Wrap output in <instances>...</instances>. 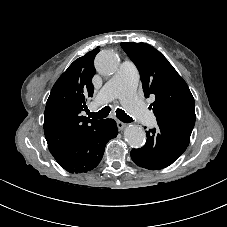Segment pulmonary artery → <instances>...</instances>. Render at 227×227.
Listing matches in <instances>:
<instances>
[{"label":"pulmonary artery","mask_w":227,"mask_h":227,"mask_svg":"<svg viewBox=\"0 0 227 227\" xmlns=\"http://www.w3.org/2000/svg\"><path fill=\"white\" fill-rule=\"evenodd\" d=\"M138 79L139 74L135 65L130 61H124L118 71L97 93L91 108L95 109L114 98H120L124 106L135 116L141 125L153 126L155 124L154 115L135 94Z\"/></svg>","instance_id":"pulmonary-artery-1"}]
</instances>
